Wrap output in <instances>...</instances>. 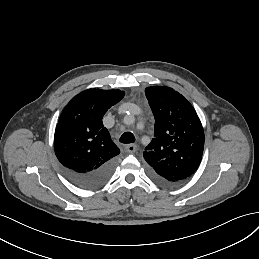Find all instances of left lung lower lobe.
<instances>
[{
  "label": "left lung lower lobe",
  "mask_w": 259,
  "mask_h": 259,
  "mask_svg": "<svg viewBox=\"0 0 259 259\" xmlns=\"http://www.w3.org/2000/svg\"><path fill=\"white\" fill-rule=\"evenodd\" d=\"M150 175H151V178H152L155 182H157V183H159V184H161V185H163V186H175V185H178V184L181 183V182H180V183L165 182V181L160 180L158 177L152 175L151 173H150Z\"/></svg>",
  "instance_id": "0a47b994"
}]
</instances>
